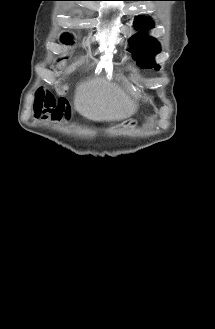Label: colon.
Returning a JSON list of instances; mask_svg holds the SVG:
<instances>
[{
	"label": "colon",
	"mask_w": 215,
	"mask_h": 329,
	"mask_svg": "<svg viewBox=\"0 0 215 329\" xmlns=\"http://www.w3.org/2000/svg\"><path fill=\"white\" fill-rule=\"evenodd\" d=\"M60 38H64V43L67 49H74L75 44L80 43V38L77 37V31H60ZM65 65V60L61 59L57 63V68L62 69ZM58 92H64V86H58ZM38 95L34 105V114H69V107H67V96H53L46 93V86H37Z\"/></svg>",
	"instance_id": "5ec220e1"
}]
</instances>
